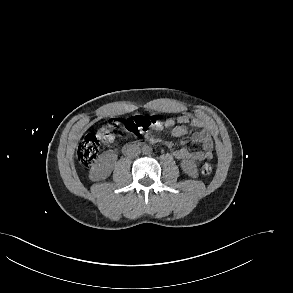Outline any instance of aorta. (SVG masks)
<instances>
[{"label":"aorta","mask_w":293,"mask_h":293,"mask_svg":"<svg viewBox=\"0 0 293 293\" xmlns=\"http://www.w3.org/2000/svg\"><path fill=\"white\" fill-rule=\"evenodd\" d=\"M152 151H153V149H152V147L150 145H144L142 147V152L145 155H150L152 153Z\"/></svg>","instance_id":"1"}]
</instances>
